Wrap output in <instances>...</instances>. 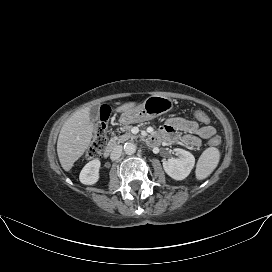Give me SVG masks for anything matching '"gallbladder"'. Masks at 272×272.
Listing matches in <instances>:
<instances>
[{
	"mask_svg": "<svg viewBox=\"0 0 272 272\" xmlns=\"http://www.w3.org/2000/svg\"><path fill=\"white\" fill-rule=\"evenodd\" d=\"M91 122L96 123L99 120V106H93L89 111Z\"/></svg>",
	"mask_w": 272,
	"mask_h": 272,
	"instance_id": "gallbladder-1",
	"label": "gallbladder"
}]
</instances>
